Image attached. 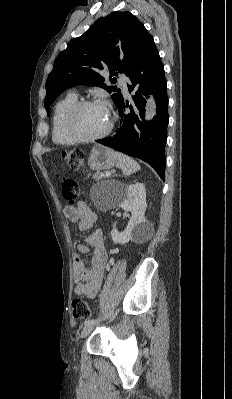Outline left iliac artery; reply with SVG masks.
I'll return each instance as SVG.
<instances>
[{"label": "left iliac artery", "mask_w": 232, "mask_h": 399, "mask_svg": "<svg viewBox=\"0 0 232 399\" xmlns=\"http://www.w3.org/2000/svg\"><path fill=\"white\" fill-rule=\"evenodd\" d=\"M112 314H113V309H111L109 311V313L107 315H105V318L111 316ZM94 322H95V319H88V320H85L84 325H85V327H88V326L92 325Z\"/></svg>", "instance_id": "1"}]
</instances>
